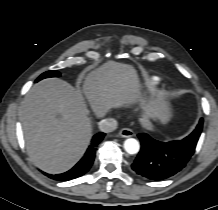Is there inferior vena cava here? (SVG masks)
<instances>
[{"label": "inferior vena cava", "instance_id": "inferior-vena-cava-1", "mask_svg": "<svg viewBox=\"0 0 218 210\" xmlns=\"http://www.w3.org/2000/svg\"><path fill=\"white\" fill-rule=\"evenodd\" d=\"M99 129L102 132L109 133L114 131L117 128V121L113 118H106L101 120L99 123Z\"/></svg>", "mask_w": 218, "mask_h": 210}]
</instances>
